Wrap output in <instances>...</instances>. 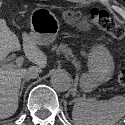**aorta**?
Segmentation results:
<instances>
[{"label": "aorta", "mask_w": 125, "mask_h": 125, "mask_svg": "<svg viewBox=\"0 0 125 125\" xmlns=\"http://www.w3.org/2000/svg\"><path fill=\"white\" fill-rule=\"evenodd\" d=\"M51 85L52 87L59 91V92H65L70 89L71 87V78L68 75L67 72L59 70L56 71L52 76H51Z\"/></svg>", "instance_id": "obj_1"}]
</instances>
